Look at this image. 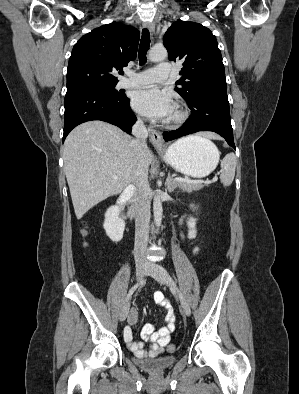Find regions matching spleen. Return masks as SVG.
Segmentation results:
<instances>
[{
    "instance_id": "3e777b00",
    "label": "spleen",
    "mask_w": 299,
    "mask_h": 394,
    "mask_svg": "<svg viewBox=\"0 0 299 394\" xmlns=\"http://www.w3.org/2000/svg\"><path fill=\"white\" fill-rule=\"evenodd\" d=\"M199 138L211 142L210 140L205 139L203 137H199ZM236 164H237V160L234 153H228L221 161L220 181L223 184V186L227 187L232 184L235 176Z\"/></svg>"
}]
</instances>
